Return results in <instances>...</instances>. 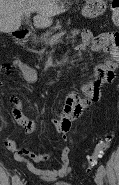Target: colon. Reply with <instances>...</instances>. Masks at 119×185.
<instances>
[{
    "label": "colon",
    "instance_id": "1",
    "mask_svg": "<svg viewBox=\"0 0 119 185\" xmlns=\"http://www.w3.org/2000/svg\"><path fill=\"white\" fill-rule=\"evenodd\" d=\"M111 19L115 25H118L119 23V0H112ZM111 140H112V134H107L96 143L93 152L87 158V164H86L87 170H90L92 167H94L97 164L98 160L102 157L104 152L109 147Z\"/></svg>",
    "mask_w": 119,
    "mask_h": 185
}]
</instances>
